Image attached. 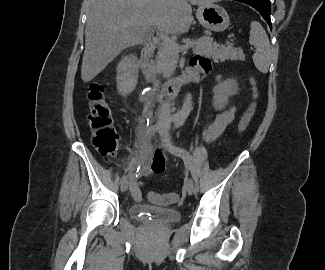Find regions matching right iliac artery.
Listing matches in <instances>:
<instances>
[{
	"instance_id": "1",
	"label": "right iliac artery",
	"mask_w": 325,
	"mask_h": 270,
	"mask_svg": "<svg viewBox=\"0 0 325 270\" xmlns=\"http://www.w3.org/2000/svg\"><path fill=\"white\" fill-rule=\"evenodd\" d=\"M175 120V118L174 117H171L170 119H169V122H171V121H174ZM158 125H152V126H150L149 128H148V130H147V133H146V136L147 137H150V136H152L156 131H157V129H158ZM135 160H132L130 163H129V166H128V169H130L131 167H133V165L135 164ZM126 180V176H123L122 178H121V183L123 182V181H125Z\"/></svg>"
}]
</instances>
